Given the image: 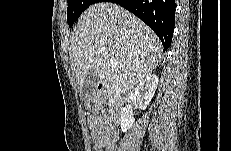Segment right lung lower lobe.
I'll return each mask as SVG.
<instances>
[{"instance_id": "obj_1", "label": "right lung lower lobe", "mask_w": 231, "mask_h": 151, "mask_svg": "<svg viewBox=\"0 0 231 151\" xmlns=\"http://www.w3.org/2000/svg\"><path fill=\"white\" fill-rule=\"evenodd\" d=\"M106 1L116 3L139 17L157 34L164 50L170 47L175 24V0H98Z\"/></svg>"}]
</instances>
